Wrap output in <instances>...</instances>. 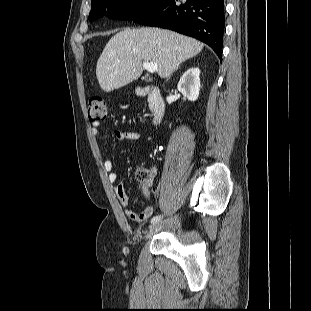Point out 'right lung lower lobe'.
I'll return each instance as SVG.
<instances>
[{
    "instance_id": "obj_1",
    "label": "right lung lower lobe",
    "mask_w": 311,
    "mask_h": 311,
    "mask_svg": "<svg viewBox=\"0 0 311 311\" xmlns=\"http://www.w3.org/2000/svg\"><path fill=\"white\" fill-rule=\"evenodd\" d=\"M132 20L199 39L222 57L224 0H160Z\"/></svg>"
}]
</instances>
